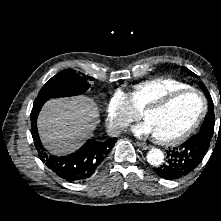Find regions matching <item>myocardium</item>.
Wrapping results in <instances>:
<instances>
[{
  "mask_svg": "<svg viewBox=\"0 0 221 221\" xmlns=\"http://www.w3.org/2000/svg\"><path fill=\"white\" fill-rule=\"evenodd\" d=\"M189 93L196 94L201 99V110L198 116L196 117V119L184 131H182L180 134L176 136H173L170 138H161V137L154 136L155 142L162 144V145H176V144L183 142L192 133H194L195 130L199 127V125L203 121L204 117L206 116L207 108H208L206 97L200 90L192 88V87H188L184 89L171 91L163 95L162 97L156 99L155 101H153L152 103H150L149 105H147L140 111V117L144 119L147 114L158 112L164 109L165 107H167L169 104H171L174 100H176L180 96L189 94Z\"/></svg>",
  "mask_w": 221,
  "mask_h": 221,
  "instance_id": "f54148a6",
  "label": "myocardium"
}]
</instances>
